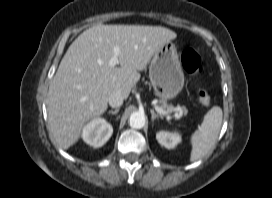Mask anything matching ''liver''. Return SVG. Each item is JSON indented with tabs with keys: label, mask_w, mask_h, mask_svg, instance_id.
Instances as JSON below:
<instances>
[{
	"label": "liver",
	"mask_w": 272,
	"mask_h": 198,
	"mask_svg": "<svg viewBox=\"0 0 272 198\" xmlns=\"http://www.w3.org/2000/svg\"><path fill=\"white\" fill-rule=\"evenodd\" d=\"M177 34L161 26L97 24L69 46L49 85L48 121L57 144H75L85 124L108 107L112 93L127 99L152 56ZM118 47V64L110 67Z\"/></svg>",
	"instance_id": "6515ba94"
}]
</instances>
